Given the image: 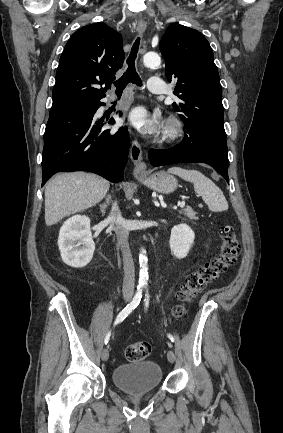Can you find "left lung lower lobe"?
Listing matches in <instances>:
<instances>
[{
  "label": "left lung lower lobe",
  "instance_id": "1",
  "mask_svg": "<svg viewBox=\"0 0 283 433\" xmlns=\"http://www.w3.org/2000/svg\"><path fill=\"white\" fill-rule=\"evenodd\" d=\"M185 137L179 145L171 149L149 150L152 166L173 163H206L228 179V151L226 134L223 127L211 124L197 126L185 125Z\"/></svg>",
  "mask_w": 283,
  "mask_h": 433
}]
</instances>
